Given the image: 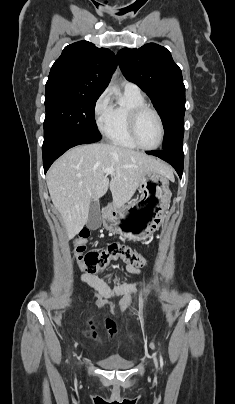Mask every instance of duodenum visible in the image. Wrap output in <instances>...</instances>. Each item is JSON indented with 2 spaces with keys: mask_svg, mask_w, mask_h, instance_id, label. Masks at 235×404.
<instances>
[{
  "mask_svg": "<svg viewBox=\"0 0 235 404\" xmlns=\"http://www.w3.org/2000/svg\"><path fill=\"white\" fill-rule=\"evenodd\" d=\"M111 213L110 206H104L103 207V214L109 215Z\"/></svg>",
  "mask_w": 235,
  "mask_h": 404,
  "instance_id": "410a0bca",
  "label": "duodenum"
}]
</instances>
